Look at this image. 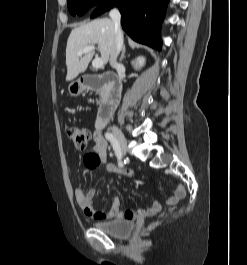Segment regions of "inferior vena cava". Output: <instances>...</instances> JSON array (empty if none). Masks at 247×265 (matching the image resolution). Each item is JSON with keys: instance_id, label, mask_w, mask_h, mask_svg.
Masks as SVG:
<instances>
[{"instance_id": "inferior-vena-cava-1", "label": "inferior vena cava", "mask_w": 247, "mask_h": 265, "mask_svg": "<svg viewBox=\"0 0 247 265\" xmlns=\"http://www.w3.org/2000/svg\"><path fill=\"white\" fill-rule=\"evenodd\" d=\"M113 24H114V45L110 54V65L114 68L118 66L117 63V57L123 47V33L121 31L120 21H121V15L118 9H113L109 13Z\"/></svg>"}]
</instances>
